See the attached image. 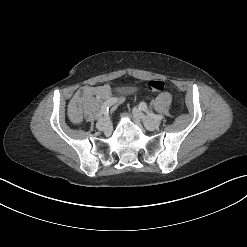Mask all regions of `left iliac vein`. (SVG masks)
<instances>
[{
    "label": "left iliac vein",
    "mask_w": 247,
    "mask_h": 247,
    "mask_svg": "<svg viewBox=\"0 0 247 247\" xmlns=\"http://www.w3.org/2000/svg\"><path fill=\"white\" fill-rule=\"evenodd\" d=\"M133 114L136 118L140 119L142 123L149 128H157L160 126L161 122L158 119L149 118L146 116L140 108L134 107Z\"/></svg>",
    "instance_id": "left-iliac-vein-1"
}]
</instances>
